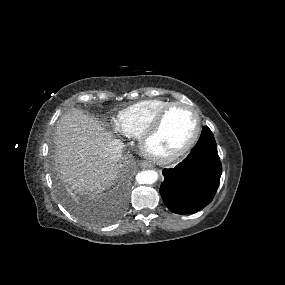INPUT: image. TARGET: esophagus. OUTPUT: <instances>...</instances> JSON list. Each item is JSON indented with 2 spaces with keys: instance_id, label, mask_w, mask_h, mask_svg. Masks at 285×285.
I'll return each instance as SVG.
<instances>
[{
  "instance_id": "1",
  "label": "esophagus",
  "mask_w": 285,
  "mask_h": 285,
  "mask_svg": "<svg viewBox=\"0 0 285 285\" xmlns=\"http://www.w3.org/2000/svg\"><path fill=\"white\" fill-rule=\"evenodd\" d=\"M141 166H142L143 168H151V167H152V165H151L149 162H147V161H143V162L141 163Z\"/></svg>"
}]
</instances>
